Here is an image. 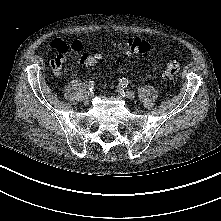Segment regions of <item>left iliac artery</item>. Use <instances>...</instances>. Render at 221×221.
<instances>
[{
    "label": "left iliac artery",
    "instance_id": "1",
    "mask_svg": "<svg viewBox=\"0 0 221 221\" xmlns=\"http://www.w3.org/2000/svg\"><path fill=\"white\" fill-rule=\"evenodd\" d=\"M120 83L123 87H125L129 84V81L126 78H122V79H120Z\"/></svg>",
    "mask_w": 221,
    "mask_h": 221
}]
</instances>
